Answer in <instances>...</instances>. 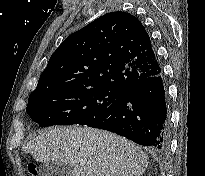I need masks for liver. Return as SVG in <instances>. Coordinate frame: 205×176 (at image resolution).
Instances as JSON below:
<instances>
[{
	"label": "liver",
	"instance_id": "obj_1",
	"mask_svg": "<svg viewBox=\"0 0 205 176\" xmlns=\"http://www.w3.org/2000/svg\"><path fill=\"white\" fill-rule=\"evenodd\" d=\"M22 149L36 161L72 166V176H141L148 166L147 154L134 143L90 127L49 128Z\"/></svg>",
	"mask_w": 205,
	"mask_h": 176
}]
</instances>
